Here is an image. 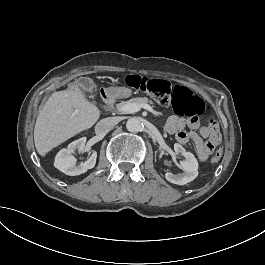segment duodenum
<instances>
[{
  "instance_id": "1",
  "label": "duodenum",
  "mask_w": 265,
  "mask_h": 265,
  "mask_svg": "<svg viewBox=\"0 0 265 265\" xmlns=\"http://www.w3.org/2000/svg\"><path fill=\"white\" fill-rule=\"evenodd\" d=\"M98 93H99V95H100L102 98H105V101H106V102L110 101V99H111V95L109 94V92H108L104 87H101V88L98 90Z\"/></svg>"
}]
</instances>
